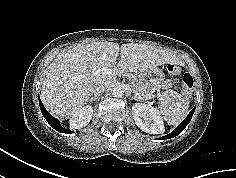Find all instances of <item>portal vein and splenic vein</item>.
Masks as SVG:
<instances>
[{"mask_svg":"<svg viewBox=\"0 0 236 178\" xmlns=\"http://www.w3.org/2000/svg\"><path fill=\"white\" fill-rule=\"evenodd\" d=\"M99 73H102L104 75H108V76H116L118 75V73L113 70V69H109L107 67H102L101 69L97 70L94 72V74H99ZM135 92V91H134ZM135 95L139 98V99H142V97L137 93L135 92Z\"/></svg>","mask_w":236,"mask_h":178,"instance_id":"portal-vein-and-splenic-vein-1","label":"portal vein and splenic vein"}]
</instances>
